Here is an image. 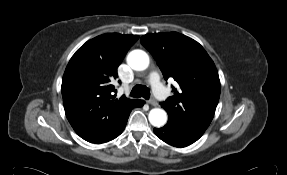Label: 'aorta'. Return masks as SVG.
<instances>
[{"mask_svg": "<svg viewBox=\"0 0 287 175\" xmlns=\"http://www.w3.org/2000/svg\"><path fill=\"white\" fill-rule=\"evenodd\" d=\"M127 63L133 70L143 71L149 66V56L143 50H133L127 56ZM148 119L154 127H162L167 122V113L154 108L149 112Z\"/></svg>", "mask_w": 287, "mask_h": 175, "instance_id": "1", "label": "aorta"}]
</instances>
